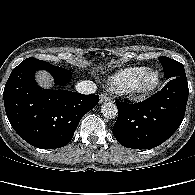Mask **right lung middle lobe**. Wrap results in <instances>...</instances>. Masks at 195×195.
I'll return each mask as SVG.
<instances>
[{
  "mask_svg": "<svg viewBox=\"0 0 195 195\" xmlns=\"http://www.w3.org/2000/svg\"><path fill=\"white\" fill-rule=\"evenodd\" d=\"M29 59L33 60L42 69L49 71L52 74V76L54 77L55 82L58 85H65L70 81L72 73L69 70L58 67V66H54L48 62L38 60V59H35L32 57L27 58L25 60H29Z\"/></svg>",
  "mask_w": 195,
  "mask_h": 195,
  "instance_id": "dd1d6c3e",
  "label": "right lung middle lobe"
}]
</instances>
